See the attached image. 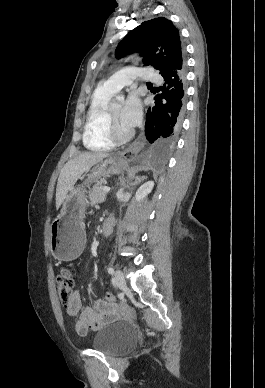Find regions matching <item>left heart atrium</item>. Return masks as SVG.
<instances>
[{
	"mask_svg": "<svg viewBox=\"0 0 265 388\" xmlns=\"http://www.w3.org/2000/svg\"><path fill=\"white\" fill-rule=\"evenodd\" d=\"M142 116V106L136 94L128 96L121 114V121L127 127L138 124Z\"/></svg>",
	"mask_w": 265,
	"mask_h": 388,
	"instance_id": "39dd6f15",
	"label": "left heart atrium"
}]
</instances>
